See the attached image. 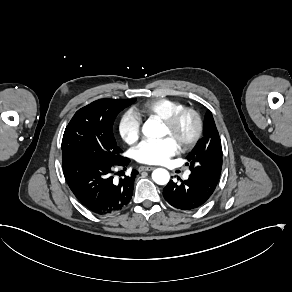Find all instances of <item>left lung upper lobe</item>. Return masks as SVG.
Segmentation results:
<instances>
[{
    "mask_svg": "<svg viewBox=\"0 0 292 292\" xmlns=\"http://www.w3.org/2000/svg\"><path fill=\"white\" fill-rule=\"evenodd\" d=\"M191 175L218 182L222 167V148L218 130L210 110L206 112L203 137L187 156Z\"/></svg>",
    "mask_w": 292,
    "mask_h": 292,
    "instance_id": "1",
    "label": "left lung upper lobe"
}]
</instances>
